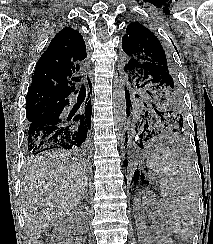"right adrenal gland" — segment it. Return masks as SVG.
Here are the masks:
<instances>
[{"instance_id": "2a0ac1e0", "label": "right adrenal gland", "mask_w": 213, "mask_h": 244, "mask_svg": "<svg viewBox=\"0 0 213 244\" xmlns=\"http://www.w3.org/2000/svg\"><path fill=\"white\" fill-rule=\"evenodd\" d=\"M86 199V200H88V188L86 187V189H85V193H84V196H83V198L82 199Z\"/></svg>"}]
</instances>
